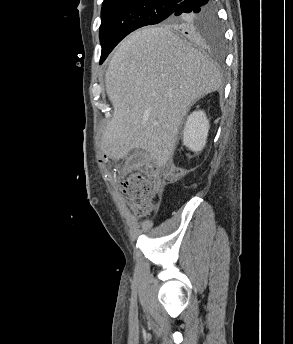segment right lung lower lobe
<instances>
[{"instance_id":"98d812e1","label":"right lung lower lobe","mask_w":293,"mask_h":344,"mask_svg":"<svg viewBox=\"0 0 293 344\" xmlns=\"http://www.w3.org/2000/svg\"><path fill=\"white\" fill-rule=\"evenodd\" d=\"M213 9V4L210 0H181L176 3V9L173 13L175 16L193 14L203 12H209Z\"/></svg>"}]
</instances>
